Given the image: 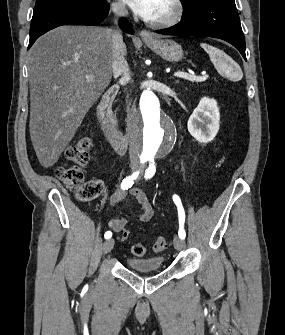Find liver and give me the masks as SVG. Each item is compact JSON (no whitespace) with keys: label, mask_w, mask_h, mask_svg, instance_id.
I'll return each mask as SVG.
<instances>
[{"label":"liver","mask_w":285,"mask_h":335,"mask_svg":"<svg viewBox=\"0 0 285 335\" xmlns=\"http://www.w3.org/2000/svg\"><path fill=\"white\" fill-rule=\"evenodd\" d=\"M112 56V34L98 26H60L32 46L29 128L43 168L58 162L87 112L108 88ZM86 76H93L92 82Z\"/></svg>","instance_id":"1"}]
</instances>
